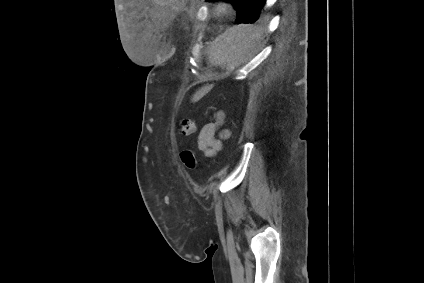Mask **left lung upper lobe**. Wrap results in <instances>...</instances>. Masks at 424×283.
<instances>
[{
	"instance_id": "obj_1",
	"label": "left lung upper lobe",
	"mask_w": 424,
	"mask_h": 283,
	"mask_svg": "<svg viewBox=\"0 0 424 283\" xmlns=\"http://www.w3.org/2000/svg\"><path fill=\"white\" fill-rule=\"evenodd\" d=\"M215 2L220 0H206ZM234 5L237 13L236 23H253L263 16L262 6L265 0H222Z\"/></svg>"
}]
</instances>
